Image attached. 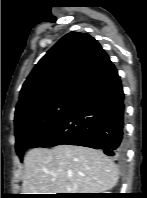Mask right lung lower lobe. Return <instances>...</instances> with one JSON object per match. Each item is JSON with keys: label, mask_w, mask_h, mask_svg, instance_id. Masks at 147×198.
I'll list each match as a JSON object with an SVG mask.
<instances>
[{"label": "right lung lower lobe", "mask_w": 147, "mask_h": 198, "mask_svg": "<svg viewBox=\"0 0 147 198\" xmlns=\"http://www.w3.org/2000/svg\"><path fill=\"white\" fill-rule=\"evenodd\" d=\"M124 93L113 64L76 100L63 118L31 148L61 144L103 150L124 157Z\"/></svg>", "instance_id": "right-lung-lower-lobe-1"}]
</instances>
